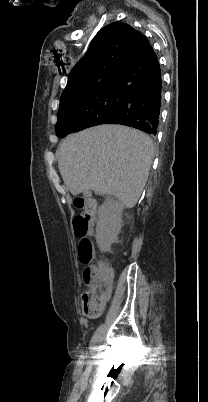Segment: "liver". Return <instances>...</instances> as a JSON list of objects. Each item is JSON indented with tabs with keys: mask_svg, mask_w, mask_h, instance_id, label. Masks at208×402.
<instances>
[{
	"mask_svg": "<svg viewBox=\"0 0 208 402\" xmlns=\"http://www.w3.org/2000/svg\"><path fill=\"white\" fill-rule=\"evenodd\" d=\"M57 154L59 172L73 196L93 190L134 208L148 180L154 146L139 130L96 126L64 138Z\"/></svg>",
	"mask_w": 208,
	"mask_h": 402,
	"instance_id": "6515ba94",
	"label": "liver"
}]
</instances>
